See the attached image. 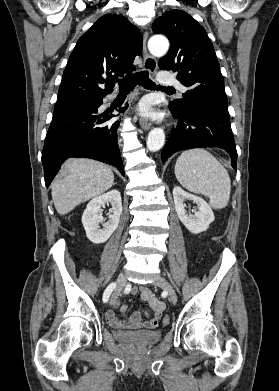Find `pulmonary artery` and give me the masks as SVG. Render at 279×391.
<instances>
[{"label": "pulmonary artery", "mask_w": 279, "mask_h": 391, "mask_svg": "<svg viewBox=\"0 0 279 391\" xmlns=\"http://www.w3.org/2000/svg\"><path fill=\"white\" fill-rule=\"evenodd\" d=\"M158 80L163 84H178L175 77L171 74H167L165 72H161L158 75ZM178 87L181 91H185V87L181 84H178Z\"/></svg>", "instance_id": "obj_1"}]
</instances>
